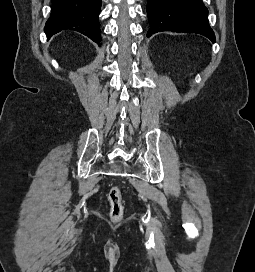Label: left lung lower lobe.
<instances>
[{
	"label": "left lung lower lobe",
	"mask_w": 255,
	"mask_h": 272,
	"mask_svg": "<svg viewBox=\"0 0 255 272\" xmlns=\"http://www.w3.org/2000/svg\"><path fill=\"white\" fill-rule=\"evenodd\" d=\"M150 28L147 37L160 31L197 33L215 42L202 0H147Z\"/></svg>",
	"instance_id": "left-lung-lower-lobe-1"
}]
</instances>
